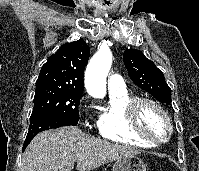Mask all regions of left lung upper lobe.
I'll list each match as a JSON object with an SVG mask.
<instances>
[{"label": "left lung upper lobe", "mask_w": 199, "mask_h": 171, "mask_svg": "<svg viewBox=\"0 0 199 171\" xmlns=\"http://www.w3.org/2000/svg\"><path fill=\"white\" fill-rule=\"evenodd\" d=\"M124 64L132 81L162 103H171V89L164 74L144 54L136 49H127L123 54Z\"/></svg>", "instance_id": "obj_1"}]
</instances>
